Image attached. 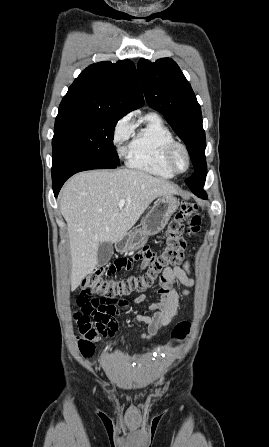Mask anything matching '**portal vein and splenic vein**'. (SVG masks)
Instances as JSON below:
<instances>
[{
    "label": "portal vein and splenic vein",
    "instance_id": "portal-vein-and-splenic-vein-1",
    "mask_svg": "<svg viewBox=\"0 0 269 447\" xmlns=\"http://www.w3.org/2000/svg\"><path fill=\"white\" fill-rule=\"evenodd\" d=\"M124 204H125V200H120V202H119L120 210H122V208H124Z\"/></svg>",
    "mask_w": 269,
    "mask_h": 447
}]
</instances>
